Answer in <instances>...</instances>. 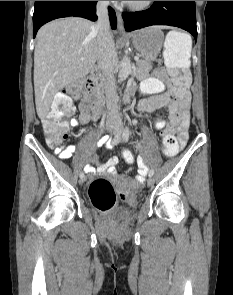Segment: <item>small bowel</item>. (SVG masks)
Listing matches in <instances>:
<instances>
[{
  "label": "small bowel",
  "mask_w": 233,
  "mask_h": 295,
  "mask_svg": "<svg viewBox=\"0 0 233 295\" xmlns=\"http://www.w3.org/2000/svg\"><path fill=\"white\" fill-rule=\"evenodd\" d=\"M141 92L151 95L149 98L140 101L138 109L142 112L150 113L158 111V118L155 122V127L158 130H163L166 127H170L173 132H176L179 145L183 147L186 144L188 137L189 127V109H190V92L187 91L179 96L173 94L170 90V82L167 78L165 71L158 68L154 71L153 76L144 80L141 84ZM164 110L168 112V121L164 119ZM80 124H87L93 118L86 101H82L80 104ZM73 124H77L73 121ZM111 146L110 139L105 136L101 138L96 147ZM54 152L61 159H69L76 152L75 145H69L65 148H55ZM91 164H86L84 170L86 173L94 174L95 172L104 175H117L116 165L119 162L117 156L110 157L106 162L100 163L93 156L91 158ZM138 174L136 179L139 182L144 181L147 173V166L144 163L142 157H138Z\"/></svg>",
  "instance_id": "1"
}]
</instances>
